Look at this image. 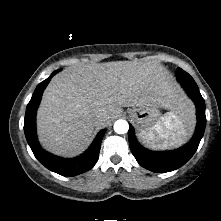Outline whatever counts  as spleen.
Wrapping results in <instances>:
<instances>
[{
    "instance_id": "1",
    "label": "spleen",
    "mask_w": 221,
    "mask_h": 221,
    "mask_svg": "<svg viewBox=\"0 0 221 221\" xmlns=\"http://www.w3.org/2000/svg\"><path fill=\"white\" fill-rule=\"evenodd\" d=\"M194 111L189 110L183 113L169 112L162 117V122L157 126L156 130L159 137L163 141L162 144H146V139H153V135L144 136L139 133V138L148 147L153 149H166L182 145L192 133L194 127Z\"/></svg>"
}]
</instances>
